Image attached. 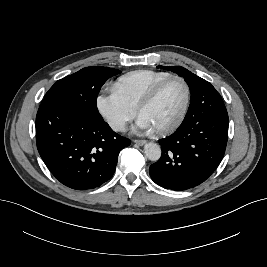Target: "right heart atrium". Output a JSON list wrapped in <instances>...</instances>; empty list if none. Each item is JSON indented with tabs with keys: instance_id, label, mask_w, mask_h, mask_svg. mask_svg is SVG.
Listing matches in <instances>:
<instances>
[{
	"instance_id": "1",
	"label": "right heart atrium",
	"mask_w": 267,
	"mask_h": 267,
	"mask_svg": "<svg viewBox=\"0 0 267 267\" xmlns=\"http://www.w3.org/2000/svg\"><path fill=\"white\" fill-rule=\"evenodd\" d=\"M96 106L101 116L114 131L125 130L136 113V109L114 90L99 94Z\"/></svg>"
}]
</instances>
